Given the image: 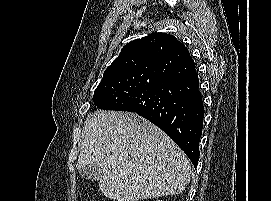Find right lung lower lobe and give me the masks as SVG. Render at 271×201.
<instances>
[{"instance_id":"98d812e1","label":"right lung lower lobe","mask_w":271,"mask_h":201,"mask_svg":"<svg viewBox=\"0 0 271 201\" xmlns=\"http://www.w3.org/2000/svg\"><path fill=\"white\" fill-rule=\"evenodd\" d=\"M150 70L148 88L122 100L118 111L136 112L161 128L196 168L204 107L194 61L180 43Z\"/></svg>"}]
</instances>
